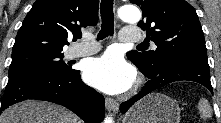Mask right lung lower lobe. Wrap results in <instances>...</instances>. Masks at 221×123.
Segmentation results:
<instances>
[{
	"label": "right lung lower lobe",
	"mask_w": 221,
	"mask_h": 123,
	"mask_svg": "<svg viewBox=\"0 0 221 123\" xmlns=\"http://www.w3.org/2000/svg\"><path fill=\"white\" fill-rule=\"evenodd\" d=\"M28 99L63 105L86 123H101L104 118V97L82 82L78 70L65 73L28 70L9 75L1 111Z\"/></svg>",
	"instance_id": "right-lung-lower-lobe-1"
}]
</instances>
